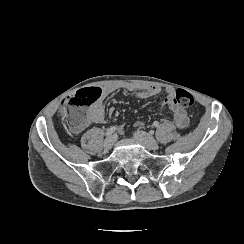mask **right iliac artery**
Listing matches in <instances>:
<instances>
[{"mask_svg":"<svg viewBox=\"0 0 244 244\" xmlns=\"http://www.w3.org/2000/svg\"><path fill=\"white\" fill-rule=\"evenodd\" d=\"M116 126H111L105 133L106 138L111 137L113 133L116 131Z\"/></svg>","mask_w":244,"mask_h":244,"instance_id":"obj_1","label":"right iliac artery"}]
</instances>
